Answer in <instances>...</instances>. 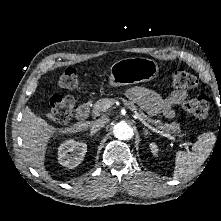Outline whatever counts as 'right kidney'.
Wrapping results in <instances>:
<instances>
[{
    "mask_svg": "<svg viewBox=\"0 0 221 221\" xmlns=\"http://www.w3.org/2000/svg\"><path fill=\"white\" fill-rule=\"evenodd\" d=\"M87 144L73 139L63 142L58 148L59 163L69 169L77 167L84 159ZM72 153V154H69Z\"/></svg>",
    "mask_w": 221,
    "mask_h": 221,
    "instance_id": "right-kidney-1",
    "label": "right kidney"
}]
</instances>
